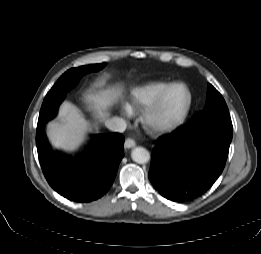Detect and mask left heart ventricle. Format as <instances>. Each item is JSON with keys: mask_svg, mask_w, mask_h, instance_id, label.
<instances>
[{"mask_svg": "<svg viewBox=\"0 0 261 254\" xmlns=\"http://www.w3.org/2000/svg\"><path fill=\"white\" fill-rule=\"evenodd\" d=\"M188 101V94L182 87L172 89L167 95L163 107V118L168 119L176 116L186 105Z\"/></svg>", "mask_w": 261, "mask_h": 254, "instance_id": "1", "label": "left heart ventricle"}]
</instances>
